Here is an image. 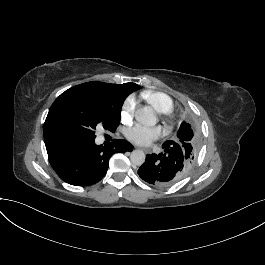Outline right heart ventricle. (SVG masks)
Instances as JSON below:
<instances>
[{
  "instance_id": "right-heart-ventricle-1",
  "label": "right heart ventricle",
  "mask_w": 265,
  "mask_h": 265,
  "mask_svg": "<svg viewBox=\"0 0 265 265\" xmlns=\"http://www.w3.org/2000/svg\"><path fill=\"white\" fill-rule=\"evenodd\" d=\"M142 98L146 100L158 113L169 114L173 111L172 100L161 93L144 92Z\"/></svg>"
}]
</instances>
